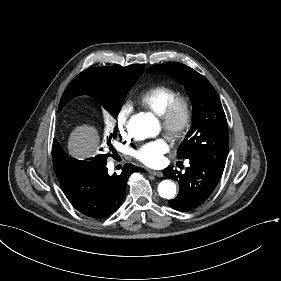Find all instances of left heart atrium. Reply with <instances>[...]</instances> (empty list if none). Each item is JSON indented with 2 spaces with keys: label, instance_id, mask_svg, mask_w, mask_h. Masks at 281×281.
<instances>
[{
  "label": "left heart atrium",
  "instance_id": "obj_1",
  "mask_svg": "<svg viewBox=\"0 0 281 281\" xmlns=\"http://www.w3.org/2000/svg\"><path fill=\"white\" fill-rule=\"evenodd\" d=\"M168 148L167 142L159 138L143 144L133 152V155L139 162L156 167L163 163V154L168 151Z\"/></svg>",
  "mask_w": 281,
  "mask_h": 281
}]
</instances>
